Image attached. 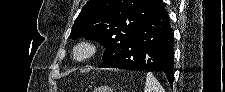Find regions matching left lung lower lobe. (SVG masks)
<instances>
[{
    "mask_svg": "<svg viewBox=\"0 0 225 92\" xmlns=\"http://www.w3.org/2000/svg\"><path fill=\"white\" fill-rule=\"evenodd\" d=\"M173 31L163 7L145 22L123 47L103 61L100 68L162 71L173 85Z\"/></svg>",
    "mask_w": 225,
    "mask_h": 92,
    "instance_id": "left-lung-lower-lobe-1",
    "label": "left lung lower lobe"
}]
</instances>
